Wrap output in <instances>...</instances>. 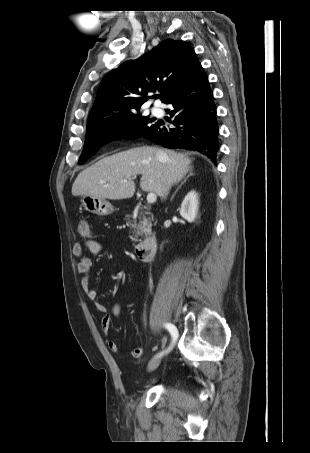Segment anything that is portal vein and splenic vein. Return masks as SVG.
I'll list each match as a JSON object with an SVG mask.
<instances>
[{
    "mask_svg": "<svg viewBox=\"0 0 310 453\" xmlns=\"http://www.w3.org/2000/svg\"><path fill=\"white\" fill-rule=\"evenodd\" d=\"M124 182H127V179H124ZM157 196L155 193L151 192L147 195V202L153 204L156 202Z\"/></svg>",
    "mask_w": 310,
    "mask_h": 453,
    "instance_id": "obj_1",
    "label": "portal vein and splenic vein"
}]
</instances>
